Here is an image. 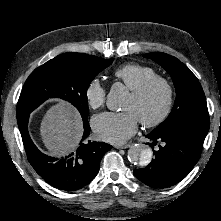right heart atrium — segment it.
<instances>
[{
	"label": "right heart atrium",
	"instance_id": "obj_1",
	"mask_svg": "<svg viewBox=\"0 0 221 221\" xmlns=\"http://www.w3.org/2000/svg\"><path fill=\"white\" fill-rule=\"evenodd\" d=\"M85 95L88 105L92 109H98L105 103L106 90L98 79H93L87 85Z\"/></svg>",
	"mask_w": 221,
	"mask_h": 221
}]
</instances>
